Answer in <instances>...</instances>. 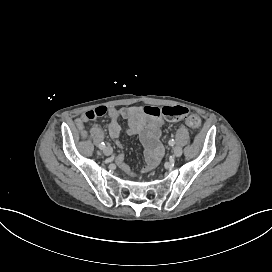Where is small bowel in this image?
I'll return each mask as SVG.
<instances>
[{"mask_svg":"<svg viewBox=\"0 0 272 272\" xmlns=\"http://www.w3.org/2000/svg\"><path fill=\"white\" fill-rule=\"evenodd\" d=\"M109 122L107 125L109 136L115 141L119 148H123L122 144L118 141L120 133L121 119L128 122L126 133L129 136L138 135L145 146L147 152V163L143 166V171H150L160 160L163 155V147L160 143L161 130L160 127L163 121L160 117L156 119H148L145 116V108L141 106H129L115 108L112 107L108 110ZM79 118L77 121H80ZM178 120V119H175ZM123 171L130 177L136 178L137 174L133 172L127 165H122Z\"/></svg>","mask_w":272,"mask_h":272,"instance_id":"c3829d8e","label":"small bowel"}]
</instances>
